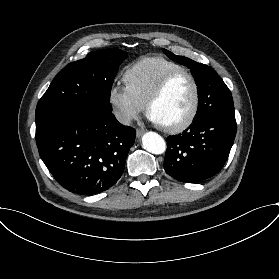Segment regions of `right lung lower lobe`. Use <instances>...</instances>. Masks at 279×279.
<instances>
[{
	"mask_svg": "<svg viewBox=\"0 0 279 279\" xmlns=\"http://www.w3.org/2000/svg\"><path fill=\"white\" fill-rule=\"evenodd\" d=\"M134 141L135 129L88 104L36 116L39 155L54 179L75 194L94 195L116 184Z\"/></svg>",
	"mask_w": 279,
	"mask_h": 279,
	"instance_id": "right-lung-lower-lobe-1",
	"label": "right lung lower lobe"
}]
</instances>
